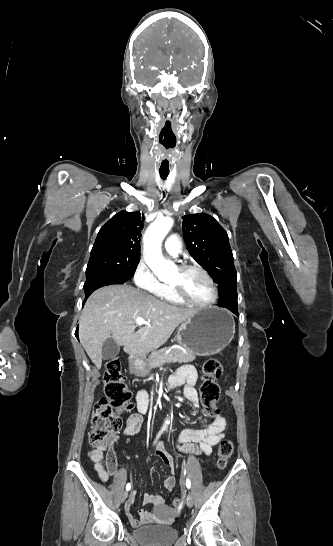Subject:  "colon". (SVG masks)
I'll return each mask as SVG.
<instances>
[{"label":"colon","instance_id":"5ec220e1","mask_svg":"<svg viewBox=\"0 0 333 546\" xmlns=\"http://www.w3.org/2000/svg\"><path fill=\"white\" fill-rule=\"evenodd\" d=\"M104 377V397L95 405L92 417V429L89 435L94 447H104L112 441L121 428L120 413L132 408V392L121 371L119 358L113 357L106 362ZM223 365L218 359H208L202 367V384L200 397L206 416L214 418L218 415L215 402L220 397L218 379L223 375ZM233 443L223 439L218 449L217 466L224 469L233 453ZM172 505L182 506V500L176 498Z\"/></svg>","mask_w":333,"mask_h":546}]
</instances>
